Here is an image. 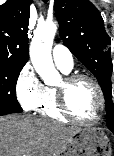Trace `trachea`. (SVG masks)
<instances>
[{
  "mask_svg": "<svg viewBox=\"0 0 114 156\" xmlns=\"http://www.w3.org/2000/svg\"><path fill=\"white\" fill-rule=\"evenodd\" d=\"M44 3H47L48 2V0H42Z\"/></svg>",
  "mask_w": 114,
  "mask_h": 156,
  "instance_id": "obj_1",
  "label": "trachea"
}]
</instances>
